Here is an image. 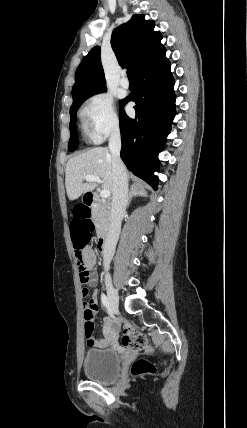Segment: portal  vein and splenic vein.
I'll return each instance as SVG.
<instances>
[{
    "mask_svg": "<svg viewBox=\"0 0 247 428\" xmlns=\"http://www.w3.org/2000/svg\"><path fill=\"white\" fill-rule=\"evenodd\" d=\"M85 180L89 181V182H96V183H102L101 179L99 178V176H95V175H86L85 176ZM100 196L102 198H108L110 196V191L109 190H105L103 189L100 192Z\"/></svg>",
    "mask_w": 247,
    "mask_h": 428,
    "instance_id": "obj_1",
    "label": "portal vein and splenic vein"
}]
</instances>
